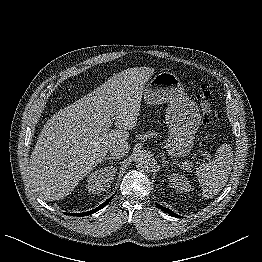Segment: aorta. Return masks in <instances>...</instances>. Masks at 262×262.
I'll list each match as a JSON object with an SVG mask.
<instances>
[{"label": "aorta", "mask_w": 262, "mask_h": 262, "mask_svg": "<svg viewBox=\"0 0 262 262\" xmlns=\"http://www.w3.org/2000/svg\"><path fill=\"white\" fill-rule=\"evenodd\" d=\"M136 167L143 171H149L152 169L153 165L150 157L145 153H139L136 159Z\"/></svg>", "instance_id": "762f6f07"}]
</instances>
